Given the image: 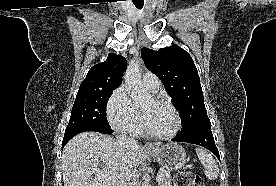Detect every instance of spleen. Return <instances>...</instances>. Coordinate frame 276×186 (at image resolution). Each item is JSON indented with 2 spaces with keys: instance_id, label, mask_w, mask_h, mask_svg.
I'll return each mask as SVG.
<instances>
[{
  "instance_id": "spleen-1",
  "label": "spleen",
  "mask_w": 276,
  "mask_h": 186,
  "mask_svg": "<svg viewBox=\"0 0 276 186\" xmlns=\"http://www.w3.org/2000/svg\"><path fill=\"white\" fill-rule=\"evenodd\" d=\"M196 154L199 158L200 163L205 169V175L209 180H215L219 175V168L215 159L206 150L202 148L195 149Z\"/></svg>"
}]
</instances>
